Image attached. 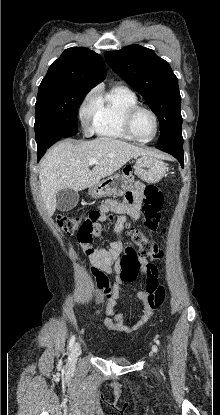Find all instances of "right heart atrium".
Masks as SVG:
<instances>
[{
    "instance_id": "d8ad5b80",
    "label": "right heart atrium",
    "mask_w": 220,
    "mask_h": 415,
    "mask_svg": "<svg viewBox=\"0 0 220 415\" xmlns=\"http://www.w3.org/2000/svg\"><path fill=\"white\" fill-rule=\"evenodd\" d=\"M94 110V97L85 102L80 108V119L86 132L89 131L91 122H93Z\"/></svg>"
}]
</instances>
